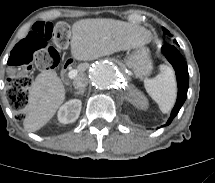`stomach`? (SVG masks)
<instances>
[{
    "label": "stomach",
    "mask_w": 215,
    "mask_h": 183,
    "mask_svg": "<svg viewBox=\"0 0 215 183\" xmlns=\"http://www.w3.org/2000/svg\"><path fill=\"white\" fill-rule=\"evenodd\" d=\"M125 63L139 78L148 75L152 70L149 50L143 46L138 47L136 51L131 53L125 60Z\"/></svg>",
    "instance_id": "stomach-1"
}]
</instances>
